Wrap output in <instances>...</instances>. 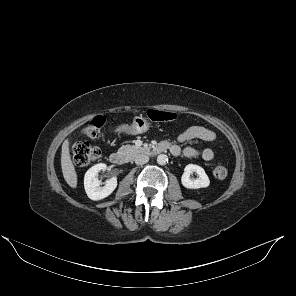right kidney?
Instances as JSON below:
<instances>
[{"instance_id":"right-kidney-1","label":"right kidney","mask_w":296,"mask_h":296,"mask_svg":"<svg viewBox=\"0 0 296 296\" xmlns=\"http://www.w3.org/2000/svg\"><path fill=\"white\" fill-rule=\"evenodd\" d=\"M107 165L104 163H99L91 167L86 173L84 177V188L87 196L91 200H101L108 197L117 187V179L116 177H112L111 179L105 182L104 187H100L101 182L96 177L98 172L101 170H106Z\"/></svg>"}]
</instances>
